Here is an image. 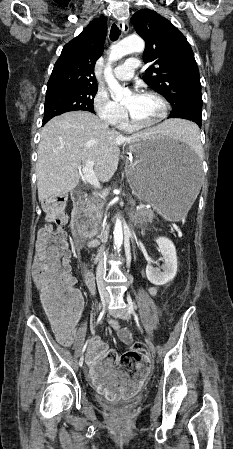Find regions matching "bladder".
Instances as JSON below:
<instances>
[{
	"label": "bladder",
	"instance_id": "obj_1",
	"mask_svg": "<svg viewBox=\"0 0 233 449\" xmlns=\"http://www.w3.org/2000/svg\"><path fill=\"white\" fill-rule=\"evenodd\" d=\"M142 400V396H136L130 399H122V400H105L103 398H99V403L109 409L113 410H128L136 405H138Z\"/></svg>",
	"mask_w": 233,
	"mask_h": 449
}]
</instances>
